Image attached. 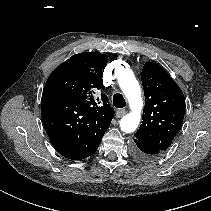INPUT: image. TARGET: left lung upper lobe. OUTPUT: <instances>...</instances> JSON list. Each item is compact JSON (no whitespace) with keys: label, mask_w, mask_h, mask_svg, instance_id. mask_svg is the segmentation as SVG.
<instances>
[{"label":"left lung upper lobe","mask_w":211,"mask_h":211,"mask_svg":"<svg viewBox=\"0 0 211 211\" xmlns=\"http://www.w3.org/2000/svg\"><path fill=\"white\" fill-rule=\"evenodd\" d=\"M145 93L142 123L134 141L164 152L178 133L185 114L183 92L159 65L147 62L141 74Z\"/></svg>","instance_id":"left-lung-upper-lobe-1"}]
</instances>
